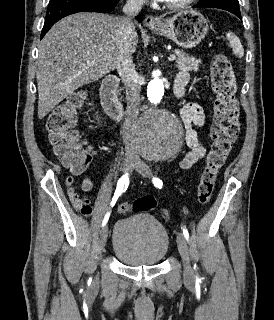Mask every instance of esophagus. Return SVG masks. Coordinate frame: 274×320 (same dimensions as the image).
<instances>
[{
	"label": "esophagus",
	"mask_w": 274,
	"mask_h": 320,
	"mask_svg": "<svg viewBox=\"0 0 274 320\" xmlns=\"http://www.w3.org/2000/svg\"><path fill=\"white\" fill-rule=\"evenodd\" d=\"M144 23L146 26H154L157 23H159V21L156 18L152 17L151 15H147L145 17Z\"/></svg>",
	"instance_id": "34e87169"
}]
</instances>
